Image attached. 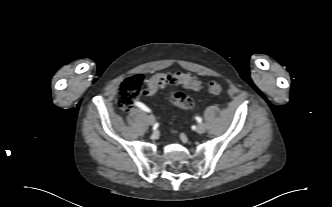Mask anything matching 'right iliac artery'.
Returning <instances> with one entry per match:
<instances>
[{
	"label": "right iliac artery",
	"mask_w": 332,
	"mask_h": 207,
	"mask_svg": "<svg viewBox=\"0 0 332 207\" xmlns=\"http://www.w3.org/2000/svg\"><path fill=\"white\" fill-rule=\"evenodd\" d=\"M135 105L146 112H151V110L141 102H136Z\"/></svg>",
	"instance_id": "82829eb1"
}]
</instances>
